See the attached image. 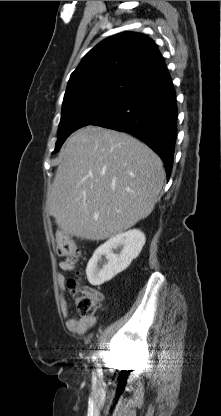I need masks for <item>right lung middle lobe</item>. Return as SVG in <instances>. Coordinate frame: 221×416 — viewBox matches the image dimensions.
<instances>
[{
  "label": "right lung middle lobe",
  "mask_w": 221,
  "mask_h": 416,
  "mask_svg": "<svg viewBox=\"0 0 221 416\" xmlns=\"http://www.w3.org/2000/svg\"><path fill=\"white\" fill-rule=\"evenodd\" d=\"M130 92L132 91L124 88L102 89L64 102L58 140L53 153L60 149L72 132L108 116Z\"/></svg>",
  "instance_id": "dd1d6c3e"
}]
</instances>
